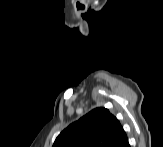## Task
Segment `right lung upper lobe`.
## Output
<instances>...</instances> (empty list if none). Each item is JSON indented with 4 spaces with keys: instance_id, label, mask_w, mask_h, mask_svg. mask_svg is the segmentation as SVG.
<instances>
[{
    "instance_id": "cb5924a9",
    "label": "right lung upper lobe",
    "mask_w": 163,
    "mask_h": 147,
    "mask_svg": "<svg viewBox=\"0 0 163 147\" xmlns=\"http://www.w3.org/2000/svg\"><path fill=\"white\" fill-rule=\"evenodd\" d=\"M125 135L119 120L99 107L64 129L53 147H113Z\"/></svg>"
}]
</instances>
